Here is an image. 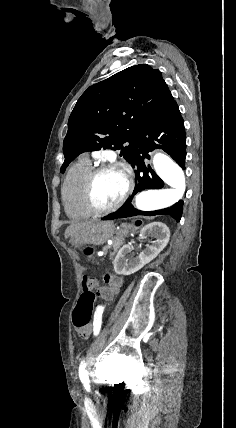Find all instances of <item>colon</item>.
Instances as JSON below:
<instances>
[{
    "label": "colon",
    "mask_w": 236,
    "mask_h": 428,
    "mask_svg": "<svg viewBox=\"0 0 236 428\" xmlns=\"http://www.w3.org/2000/svg\"><path fill=\"white\" fill-rule=\"evenodd\" d=\"M84 253L88 257H92L93 251L91 248H85ZM82 287L83 293L72 317L73 325L79 331L84 330L90 322L95 302V294L93 291L97 287V279L91 275H84L82 278Z\"/></svg>",
    "instance_id": "colon-1"
}]
</instances>
